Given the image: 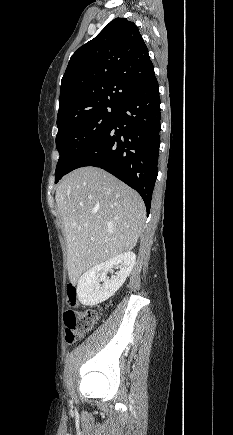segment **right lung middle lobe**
I'll use <instances>...</instances> for the list:
<instances>
[{"label":"right lung middle lobe","mask_w":233,"mask_h":435,"mask_svg":"<svg viewBox=\"0 0 233 435\" xmlns=\"http://www.w3.org/2000/svg\"><path fill=\"white\" fill-rule=\"evenodd\" d=\"M118 109L119 106L103 105L57 123L56 148L60 157L55 183L103 137Z\"/></svg>","instance_id":"dd1d6c3e"}]
</instances>
